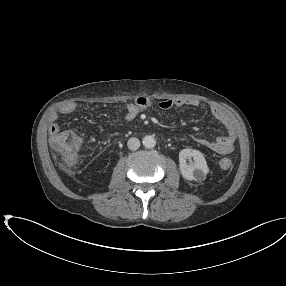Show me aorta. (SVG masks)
Listing matches in <instances>:
<instances>
[{"label": "aorta", "instance_id": "762f6f07", "mask_svg": "<svg viewBox=\"0 0 286 286\" xmlns=\"http://www.w3.org/2000/svg\"><path fill=\"white\" fill-rule=\"evenodd\" d=\"M142 143L145 148L151 149L156 145V140L153 136L147 135L143 138Z\"/></svg>", "mask_w": 286, "mask_h": 286}]
</instances>
